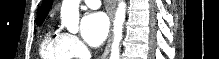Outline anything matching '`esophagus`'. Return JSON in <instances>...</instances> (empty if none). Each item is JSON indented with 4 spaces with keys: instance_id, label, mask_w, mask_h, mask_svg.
Segmentation results:
<instances>
[{
    "instance_id": "1",
    "label": "esophagus",
    "mask_w": 219,
    "mask_h": 59,
    "mask_svg": "<svg viewBox=\"0 0 219 59\" xmlns=\"http://www.w3.org/2000/svg\"><path fill=\"white\" fill-rule=\"evenodd\" d=\"M116 1L117 0H109L110 8L108 10V13H109V18H110L111 23L113 21V8L115 6ZM110 47H111V35L109 36L106 48L104 50V53L101 56V59H106L107 58V56L109 54V51H110Z\"/></svg>"
}]
</instances>
